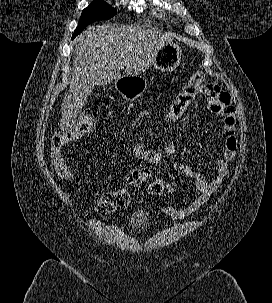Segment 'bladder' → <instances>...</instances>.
<instances>
[{"label":"bladder","mask_w":272,"mask_h":303,"mask_svg":"<svg viewBox=\"0 0 272 303\" xmlns=\"http://www.w3.org/2000/svg\"><path fill=\"white\" fill-rule=\"evenodd\" d=\"M150 222L151 217L146 211H136L130 219V225L135 230L145 229Z\"/></svg>","instance_id":"31cf9c89"}]
</instances>
